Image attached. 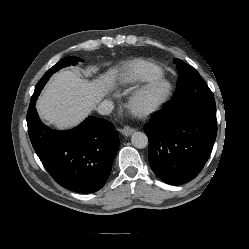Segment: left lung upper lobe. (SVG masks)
<instances>
[{"instance_id": "obj_1", "label": "left lung upper lobe", "mask_w": 249, "mask_h": 249, "mask_svg": "<svg viewBox=\"0 0 249 249\" xmlns=\"http://www.w3.org/2000/svg\"><path fill=\"white\" fill-rule=\"evenodd\" d=\"M179 79L176 92L167 104V111L177 112L189 106L215 105L213 93L192 66L175 59Z\"/></svg>"}]
</instances>
